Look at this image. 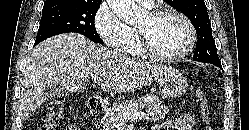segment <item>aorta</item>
Wrapping results in <instances>:
<instances>
[{"label": "aorta", "instance_id": "1", "mask_svg": "<svg viewBox=\"0 0 249 130\" xmlns=\"http://www.w3.org/2000/svg\"><path fill=\"white\" fill-rule=\"evenodd\" d=\"M112 11L125 22L132 23L140 20L143 10L134 0H107Z\"/></svg>", "mask_w": 249, "mask_h": 130}]
</instances>
